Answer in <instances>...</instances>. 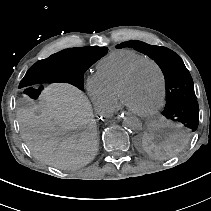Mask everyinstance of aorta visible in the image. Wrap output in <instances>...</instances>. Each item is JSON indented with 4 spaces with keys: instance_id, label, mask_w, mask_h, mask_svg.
<instances>
[{
    "instance_id": "obj_1",
    "label": "aorta",
    "mask_w": 211,
    "mask_h": 211,
    "mask_svg": "<svg viewBox=\"0 0 211 211\" xmlns=\"http://www.w3.org/2000/svg\"><path fill=\"white\" fill-rule=\"evenodd\" d=\"M123 126L129 132L137 133L142 130V122L136 116H127L123 120Z\"/></svg>"
}]
</instances>
